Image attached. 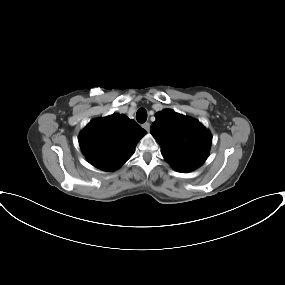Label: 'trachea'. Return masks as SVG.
Instances as JSON below:
<instances>
[{"label":"trachea","instance_id":"1","mask_svg":"<svg viewBox=\"0 0 285 285\" xmlns=\"http://www.w3.org/2000/svg\"><path fill=\"white\" fill-rule=\"evenodd\" d=\"M136 119L139 123H144L147 120V112L144 108H140L136 113Z\"/></svg>","mask_w":285,"mask_h":285}]
</instances>
